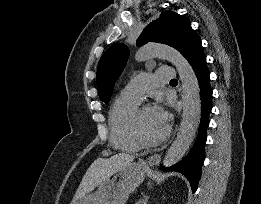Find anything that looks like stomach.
Masks as SVG:
<instances>
[{
  "instance_id": "0dacf381",
  "label": "stomach",
  "mask_w": 261,
  "mask_h": 204,
  "mask_svg": "<svg viewBox=\"0 0 261 204\" xmlns=\"http://www.w3.org/2000/svg\"><path fill=\"white\" fill-rule=\"evenodd\" d=\"M145 173L143 163H131L112 173L97 186L95 192L86 194L74 204H125L129 195L145 179Z\"/></svg>"
}]
</instances>
